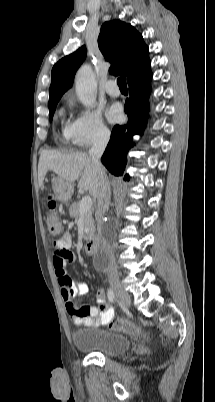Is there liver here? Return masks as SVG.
I'll return each instance as SVG.
<instances>
[{
    "label": "liver",
    "instance_id": "obj_1",
    "mask_svg": "<svg viewBox=\"0 0 215 402\" xmlns=\"http://www.w3.org/2000/svg\"><path fill=\"white\" fill-rule=\"evenodd\" d=\"M48 171H53L58 177L73 183L79 180L78 187L88 190L93 198L97 197L98 175L91 158L86 153H63L54 150H44L38 163V184L43 185Z\"/></svg>",
    "mask_w": 215,
    "mask_h": 402
}]
</instances>
